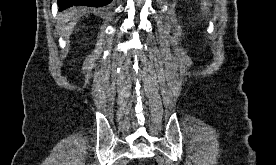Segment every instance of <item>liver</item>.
Instances as JSON below:
<instances>
[{
    "label": "liver",
    "instance_id": "obj_1",
    "mask_svg": "<svg viewBox=\"0 0 276 165\" xmlns=\"http://www.w3.org/2000/svg\"><path fill=\"white\" fill-rule=\"evenodd\" d=\"M76 18H77L76 10H71L70 13L65 14L64 21H68Z\"/></svg>",
    "mask_w": 276,
    "mask_h": 165
}]
</instances>
